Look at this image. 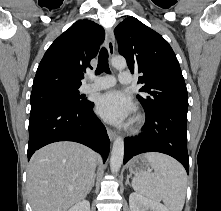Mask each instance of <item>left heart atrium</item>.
Here are the masks:
<instances>
[{
	"instance_id": "1",
	"label": "left heart atrium",
	"mask_w": 221,
	"mask_h": 211,
	"mask_svg": "<svg viewBox=\"0 0 221 211\" xmlns=\"http://www.w3.org/2000/svg\"><path fill=\"white\" fill-rule=\"evenodd\" d=\"M133 104L122 92L112 90L102 94L96 104L97 113L105 120L122 124L130 116Z\"/></svg>"
}]
</instances>
